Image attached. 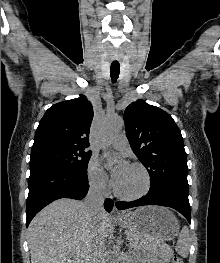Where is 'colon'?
Returning <instances> with one entry per match:
<instances>
[{"mask_svg": "<svg viewBox=\"0 0 220 263\" xmlns=\"http://www.w3.org/2000/svg\"><path fill=\"white\" fill-rule=\"evenodd\" d=\"M172 263H184L183 259L178 257V256H174L172 258Z\"/></svg>", "mask_w": 220, "mask_h": 263, "instance_id": "1", "label": "colon"}]
</instances>
